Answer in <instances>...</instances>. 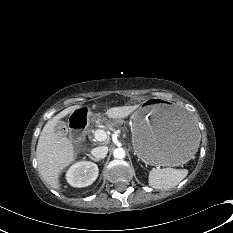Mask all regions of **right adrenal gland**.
<instances>
[{
	"label": "right adrenal gland",
	"mask_w": 233,
	"mask_h": 233,
	"mask_svg": "<svg viewBox=\"0 0 233 233\" xmlns=\"http://www.w3.org/2000/svg\"><path fill=\"white\" fill-rule=\"evenodd\" d=\"M88 157H89L91 160L95 161V162H99V161H100V159L94 158V157L91 156V155H88Z\"/></svg>",
	"instance_id": "right-adrenal-gland-1"
}]
</instances>
